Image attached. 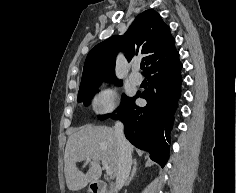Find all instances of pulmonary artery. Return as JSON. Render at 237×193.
I'll return each mask as SVG.
<instances>
[{
  "mask_svg": "<svg viewBox=\"0 0 237 193\" xmlns=\"http://www.w3.org/2000/svg\"><path fill=\"white\" fill-rule=\"evenodd\" d=\"M139 69L138 65L132 67V73L129 75V80L134 85H140L142 83V76L137 72Z\"/></svg>",
  "mask_w": 237,
  "mask_h": 193,
  "instance_id": "pulmonary-artery-1",
  "label": "pulmonary artery"
}]
</instances>
